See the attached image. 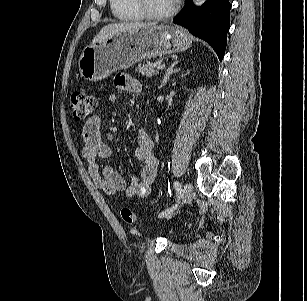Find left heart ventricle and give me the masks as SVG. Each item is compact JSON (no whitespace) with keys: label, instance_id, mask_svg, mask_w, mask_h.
<instances>
[{"label":"left heart ventricle","instance_id":"left-heart-ventricle-1","mask_svg":"<svg viewBox=\"0 0 307 301\" xmlns=\"http://www.w3.org/2000/svg\"><path fill=\"white\" fill-rule=\"evenodd\" d=\"M149 9L154 13H164L172 8L175 0H146Z\"/></svg>","mask_w":307,"mask_h":301}]
</instances>
